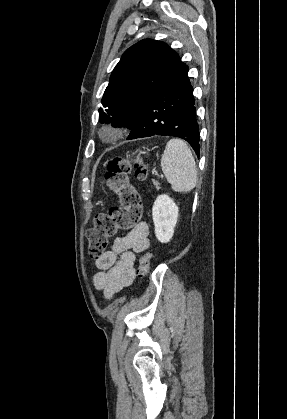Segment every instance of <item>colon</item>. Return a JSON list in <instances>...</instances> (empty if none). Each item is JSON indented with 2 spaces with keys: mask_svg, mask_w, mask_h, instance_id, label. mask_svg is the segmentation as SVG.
Returning <instances> with one entry per match:
<instances>
[{
  "mask_svg": "<svg viewBox=\"0 0 287 419\" xmlns=\"http://www.w3.org/2000/svg\"><path fill=\"white\" fill-rule=\"evenodd\" d=\"M133 167L138 179H146L148 167L139 159L133 164L116 158L108 164L106 180L109 188L118 195L121 206L111 208L107 213L95 215L93 227L88 229V252L92 258H99L107 251L108 241L118 230L135 227L142 216V202L137 190L129 182V171ZM151 268V256L139 259L138 274L146 275Z\"/></svg>",
  "mask_w": 287,
  "mask_h": 419,
  "instance_id": "colon-1",
  "label": "colon"
}]
</instances>
